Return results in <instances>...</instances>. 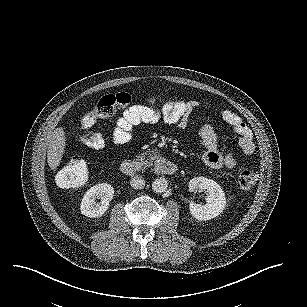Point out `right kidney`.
<instances>
[{"mask_svg": "<svg viewBox=\"0 0 307 307\" xmlns=\"http://www.w3.org/2000/svg\"><path fill=\"white\" fill-rule=\"evenodd\" d=\"M113 196L111 185L101 183L92 186L81 201V213L87 217H100L107 210Z\"/></svg>", "mask_w": 307, "mask_h": 307, "instance_id": "obj_1", "label": "right kidney"}]
</instances>
